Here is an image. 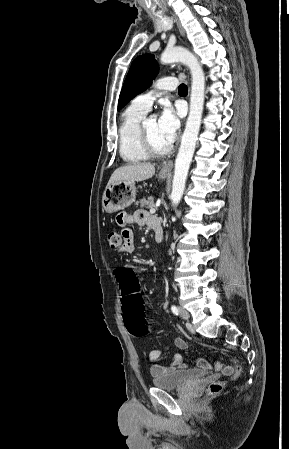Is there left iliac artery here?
<instances>
[{
    "label": "left iliac artery",
    "mask_w": 289,
    "mask_h": 449,
    "mask_svg": "<svg viewBox=\"0 0 289 449\" xmlns=\"http://www.w3.org/2000/svg\"><path fill=\"white\" fill-rule=\"evenodd\" d=\"M171 311H172L175 315H178V313H179L178 308H177L175 305H172V306H171Z\"/></svg>",
    "instance_id": "44dca946"
}]
</instances>
